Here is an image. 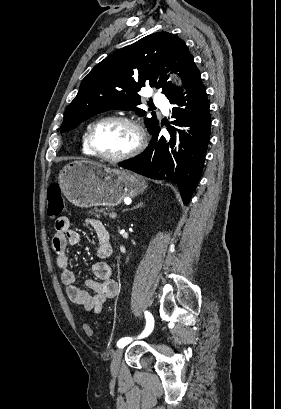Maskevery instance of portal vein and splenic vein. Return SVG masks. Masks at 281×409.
<instances>
[{
  "label": "portal vein and splenic vein",
  "instance_id": "obj_1",
  "mask_svg": "<svg viewBox=\"0 0 281 409\" xmlns=\"http://www.w3.org/2000/svg\"><path fill=\"white\" fill-rule=\"evenodd\" d=\"M109 216L111 217V219H115V217H117L116 213L114 212H110Z\"/></svg>",
  "mask_w": 281,
  "mask_h": 409
}]
</instances>
